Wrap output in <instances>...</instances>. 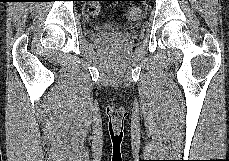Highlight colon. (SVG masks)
Wrapping results in <instances>:
<instances>
[{"instance_id":"5ec220e1","label":"colon","mask_w":229,"mask_h":161,"mask_svg":"<svg viewBox=\"0 0 229 161\" xmlns=\"http://www.w3.org/2000/svg\"><path fill=\"white\" fill-rule=\"evenodd\" d=\"M91 3L88 7V12L92 16H97L100 13V1L101 0H90ZM126 16L129 20H138L141 16V11L137 7H132L127 10Z\"/></svg>"}]
</instances>
